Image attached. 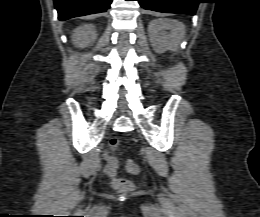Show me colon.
Instances as JSON below:
<instances>
[{"label":"colon","instance_id":"obj_1","mask_svg":"<svg viewBox=\"0 0 260 217\" xmlns=\"http://www.w3.org/2000/svg\"><path fill=\"white\" fill-rule=\"evenodd\" d=\"M110 144L115 147L117 145V140L116 139H112ZM124 165L125 168L127 170V172L131 173V174H138L139 173V166L136 162H134L131 159H125L124 160ZM112 185L115 189L118 190H123V191H127L130 189L131 184L130 182L125 179V178H115L112 181Z\"/></svg>","mask_w":260,"mask_h":217}]
</instances>
